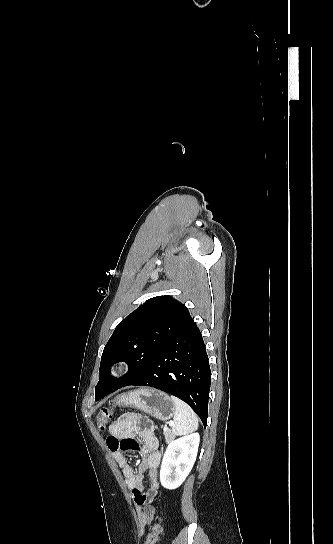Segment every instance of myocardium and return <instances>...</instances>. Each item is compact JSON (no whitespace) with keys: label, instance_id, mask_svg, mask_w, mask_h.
I'll use <instances>...</instances> for the list:
<instances>
[{"label":"myocardium","instance_id":"obj_1","mask_svg":"<svg viewBox=\"0 0 333 544\" xmlns=\"http://www.w3.org/2000/svg\"><path fill=\"white\" fill-rule=\"evenodd\" d=\"M129 367L125 361L116 362L109 367L107 376L110 380H118L128 373Z\"/></svg>","mask_w":333,"mask_h":544}]
</instances>
